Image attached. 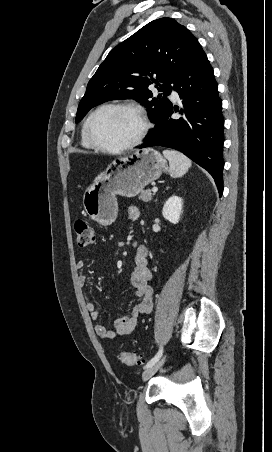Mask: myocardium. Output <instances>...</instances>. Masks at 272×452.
I'll list each match as a JSON object with an SVG mask.
<instances>
[{"label": "myocardium", "mask_w": 272, "mask_h": 452, "mask_svg": "<svg viewBox=\"0 0 272 452\" xmlns=\"http://www.w3.org/2000/svg\"><path fill=\"white\" fill-rule=\"evenodd\" d=\"M107 109L125 110V111L130 112L137 118V120L140 123V129L132 141H130L129 143H127L125 145L119 146V147H111V146H108V145L102 143L101 141H99L96 138V136L94 135V133L92 131L93 120L99 113H101L102 111L107 110ZM84 130H85V135H86L88 141L96 149L102 150V151H105L108 153L119 154V153H123V152L129 151V150L135 148L144 140V138L147 135V132L149 130V122H148L147 117L144 115V113L138 107H136L134 105L127 104V103H106V104H103V105L99 106L98 108H96L88 116V118L85 121Z\"/></svg>", "instance_id": "1"}]
</instances>
